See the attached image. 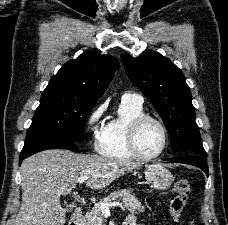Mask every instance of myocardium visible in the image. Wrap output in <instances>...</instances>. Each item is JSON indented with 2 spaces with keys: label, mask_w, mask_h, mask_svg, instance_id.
<instances>
[{
  "label": "myocardium",
  "mask_w": 228,
  "mask_h": 225,
  "mask_svg": "<svg viewBox=\"0 0 228 225\" xmlns=\"http://www.w3.org/2000/svg\"><path fill=\"white\" fill-rule=\"evenodd\" d=\"M148 121H153V122L157 123L161 127V129L163 131V135H164V141H163V146H162L161 150L152 155L145 154L141 150L140 145H139L140 131H141L142 127ZM128 140H129L130 149L137 157L145 159V160H152V159L161 157L164 154V152L166 151V149L168 147V143H169V131H168L166 124L160 118H158L154 115L144 114V115H141V116L135 118L131 122L130 127H129Z\"/></svg>",
  "instance_id": "f54148a6"
}]
</instances>
